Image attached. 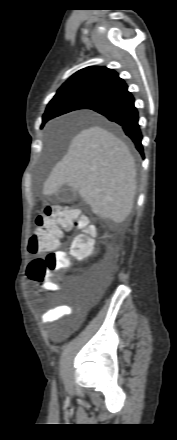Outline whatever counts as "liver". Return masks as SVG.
I'll return each mask as SVG.
<instances>
[{
    "label": "liver",
    "instance_id": "1",
    "mask_svg": "<svg viewBox=\"0 0 177 440\" xmlns=\"http://www.w3.org/2000/svg\"><path fill=\"white\" fill-rule=\"evenodd\" d=\"M77 190L93 213L114 223L130 215L136 190L135 161L127 145L99 126L81 130L67 154L44 183L43 194H56L63 185Z\"/></svg>",
    "mask_w": 177,
    "mask_h": 440
}]
</instances>
